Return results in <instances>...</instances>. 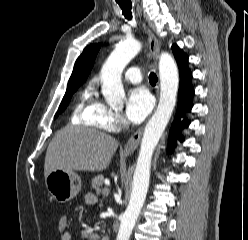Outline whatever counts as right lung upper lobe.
<instances>
[{
    "instance_id": "1",
    "label": "right lung upper lobe",
    "mask_w": 248,
    "mask_h": 240,
    "mask_svg": "<svg viewBox=\"0 0 248 240\" xmlns=\"http://www.w3.org/2000/svg\"><path fill=\"white\" fill-rule=\"evenodd\" d=\"M100 47V44H92L84 49L75 62L69 81L78 80L83 83L87 79Z\"/></svg>"
}]
</instances>
